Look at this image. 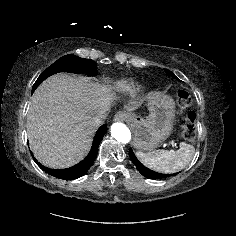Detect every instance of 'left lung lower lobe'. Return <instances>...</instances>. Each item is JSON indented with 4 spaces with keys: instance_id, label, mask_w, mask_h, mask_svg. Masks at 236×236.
I'll return each instance as SVG.
<instances>
[{
    "instance_id": "0a47b994",
    "label": "left lung lower lobe",
    "mask_w": 236,
    "mask_h": 236,
    "mask_svg": "<svg viewBox=\"0 0 236 236\" xmlns=\"http://www.w3.org/2000/svg\"><path fill=\"white\" fill-rule=\"evenodd\" d=\"M129 156L131 158V160L133 161V163L135 164L136 168L138 169V171L145 177L150 178V179H161V178H166L172 175H176L178 173L175 174H161V173H157L154 172L148 168H146L144 165H142L139 160L136 158L135 154L133 153L132 149L130 148L129 150Z\"/></svg>"
}]
</instances>
